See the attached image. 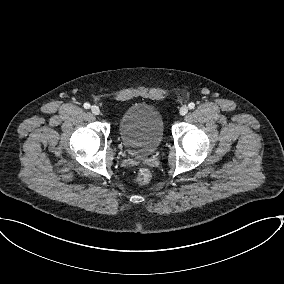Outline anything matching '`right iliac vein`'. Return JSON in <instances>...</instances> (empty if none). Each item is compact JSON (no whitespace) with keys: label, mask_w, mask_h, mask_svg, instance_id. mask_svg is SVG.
Wrapping results in <instances>:
<instances>
[{"label":"right iliac vein","mask_w":284,"mask_h":284,"mask_svg":"<svg viewBox=\"0 0 284 284\" xmlns=\"http://www.w3.org/2000/svg\"><path fill=\"white\" fill-rule=\"evenodd\" d=\"M91 112H92L94 115H99V114H100V109H99L98 106L93 105V106L91 107Z\"/></svg>","instance_id":"obj_1"}]
</instances>
